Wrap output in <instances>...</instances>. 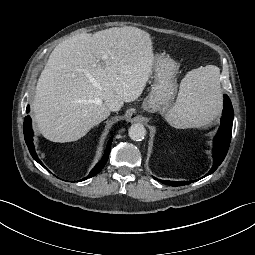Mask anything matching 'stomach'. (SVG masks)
Returning a JSON list of instances; mask_svg holds the SVG:
<instances>
[{
    "label": "stomach",
    "mask_w": 255,
    "mask_h": 255,
    "mask_svg": "<svg viewBox=\"0 0 255 255\" xmlns=\"http://www.w3.org/2000/svg\"><path fill=\"white\" fill-rule=\"evenodd\" d=\"M178 71L177 63L165 54L155 56L153 63L154 83L149 95L142 103L143 110L165 114L171 108L176 93L175 77Z\"/></svg>",
    "instance_id": "stomach-1"
}]
</instances>
